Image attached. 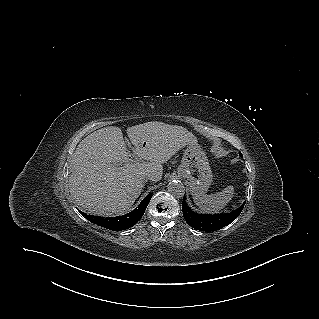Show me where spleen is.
I'll list each match as a JSON object with an SVG mask.
<instances>
[{
  "instance_id": "3e777b00",
  "label": "spleen",
  "mask_w": 319,
  "mask_h": 319,
  "mask_svg": "<svg viewBox=\"0 0 319 319\" xmlns=\"http://www.w3.org/2000/svg\"><path fill=\"white\" fill-rule=\"evenodd\" d=\"M234 187L227 186L221 192L206 195V194H192L195 204L203 211L218 212L222 210L233 198Z\"/></svg>"
}]
</instances>
